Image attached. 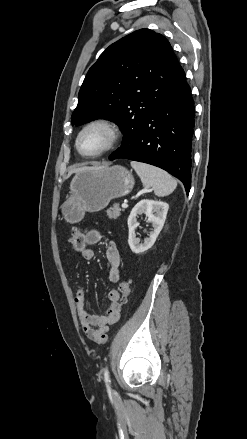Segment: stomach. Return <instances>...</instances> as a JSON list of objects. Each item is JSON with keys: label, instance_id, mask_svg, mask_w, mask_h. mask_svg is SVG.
Wrapping results in <instances>:
<instances>
[{"label": "stomach", "instance_id": "0dacf381", "mask_svg": "<svg viewBox=\"0 0 247 439\" xmlns=\"http://www.w3.org/2000/svg\"><path fill=\"white\" fill-rule=\"evenodd\" d=\"M133 186L132 173L121 165L77 173L70 184V196L60 206L62 215L69 223L79 222L85 212L104 209L112 199L130 193Z\"/></svg>", "mask_w": 247, "mask_h": 439}]
</instances>
